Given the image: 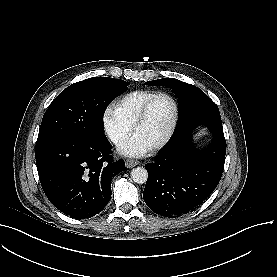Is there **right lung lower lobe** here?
I'll use <instances>...</instances> for the list:
<instances>
[{"instance_id":"obj_1","label":"right lung lower lobe","mask_w":277,"mask_h":277,"mask_svg":"<svg viewBox=\"0 0 277 277\" xmlns=\"http://www.w3.org/2000/svg\"><path fill=\"white\" fill-rule=\"evenodd\" d=\"M111 149L105 135L36 142L37 170L50 202L76 219L98 214L111 198V179L125 169L123 160H112Z\"/></svg>"}]
</instances>
